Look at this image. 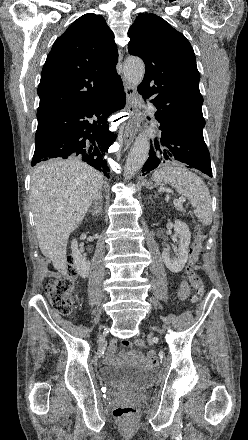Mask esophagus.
I'll list each match as a JSON object with an SVG mask.
<instances>
[{
	"mask_svg": "<svg viewBox=\"0 0 248 440\" xmlns=\"http://www.w3.org/2000/svg\"><path fill=\"white\" fill-rule=\"evenodd\" d=\"M126 93V107L128 111V120L125 125L123 139L126 146H130L133 142L136 127L138 125V103L137 95L134 87L127 81L124 82Z\"/></svg>",
	"mask_w": 248,
	"mask_h": 440,
	"instance_id": "esophagus-1",
	"label": "esophagus"
}]
</instances>
